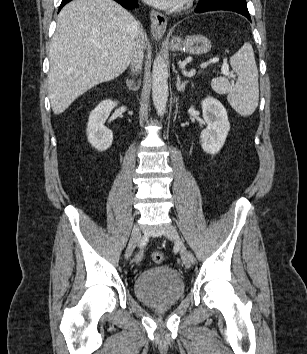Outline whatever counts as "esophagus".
I'll return each instance as SVG.
<instances>
[{
	"label": "esophagus",
	"instance_id": "34e87169",
	"mask_svg": "<svg viewBox=\"0 0 307 354\" xmlns=\"http://www.w3.org/2000/svg\"><path fill=\"white\" fill-rule=\"evenodd\" d=\"M150 20H151V32L153 37L160 39L167 26V19L164 16V14L157 12V11H151L150 13Z\"/></svg>",
	"mask_w": 307,
	"mask_h": 354
}]
</instances>
